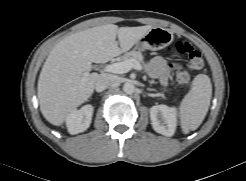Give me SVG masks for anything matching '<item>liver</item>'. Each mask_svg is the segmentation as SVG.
I'll return each mask as SVG.
<instances>
[{
  "instance_id": "6515ba94",
  "label": "liver",
  "mask_w": 246,
  "mask_h": 181,
  "mask_svg": "<svg viewBox=\"0 0 246 181\" xmlns=\"http://www.w3.org/2000/svg\"><path fill=\"white\" fill-rule=\"evenodd\" d=\"M152 28L151 25L118 28L107 24L80 31L58 42L38 79V99L44 118L55 126L62 125L94 91L99 75L89 73L91 64L106 63L127 52Z\"/></svg>"
}]
</instances>
